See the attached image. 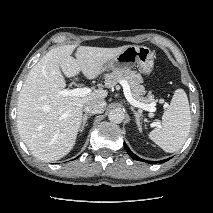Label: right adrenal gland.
I'll list each match as a JSON object with an SVG mask.
<instances>
[{
    "mask_svg": "<svg viewBox=\"0 0 213 213\" xmlns=\"http://www.w3.org/2000/svg\"><path fill=\"white\" fill-rule=\"evenodd\" d=\"M92 116V114H85L83 117H82V120H81V126H80V132H82L84 130V127L86 126V122L88 120V118Z\"/></svg>",
    "mask_w": 213,
    "mask_h": 213,
    "instance_id": "2a0ac1e0",
    "label": "right adrenal gland"
}]
</instances>
